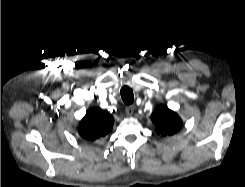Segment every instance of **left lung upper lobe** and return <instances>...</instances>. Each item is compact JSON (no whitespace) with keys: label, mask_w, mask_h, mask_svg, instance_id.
I'll return each mask as SVG.
<instances>
[{"label":"left lung upper lobe","mask_w":245,"mask_h":187,"mask_svg":"<svg viewBox=\"0 0 245 187\" xmlns=\"http://www.w3.org/2000/svg\"><path fill=\"white\" fill-rule=\"evenodd\" d=\"M152 122L156 126V133L164 136L175 134L182 126V120L178 114L164 105L155 110Z\"/></svg>","instance_id":"5c2ea615"}]
</instances>
